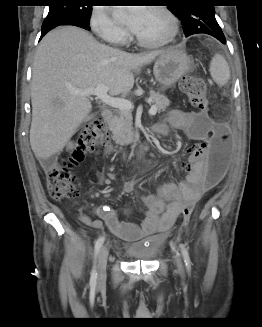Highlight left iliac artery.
Listing matches in <instances>:
<instances>
[{"label": "left iliac artery", "mask_w": 262, "mask_h": 327, "mask_svg": "<svg viewBox=\"0 0 262 327\" xmlns=\"http://www.w3.org/2000/svg\"><path fill=\"white\" fill-rule=\"evenodd\" d=\"M180 247H181V250H182V254H183V257H184V262L186 264V267H187L188 270H190L191 269V262H190L188 251L184 247V245L181 244Z\"/></svg>", "instance_id": "44dca946"}]
</instances>
